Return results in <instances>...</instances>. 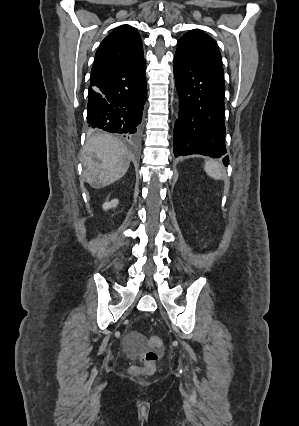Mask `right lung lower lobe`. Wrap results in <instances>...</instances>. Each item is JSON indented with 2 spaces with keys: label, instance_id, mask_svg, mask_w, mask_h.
<instances>
[{
  "label": "right lung lower lobe",
  "instance_id": "obj_1",
  "mask_svg": "<svg viewBox=\"0 0 299 426\" xmlns=\"http://www.w3.org/2000/svg\"><path fill=\"white\" fill-rule=\"evenodd\" d=\"M146 62L91 74L88 89L89 126L136 139L146 101Z\"/></svg>",
  "mask_w": 299,
  "mask_h": 426
}]
</instances>
